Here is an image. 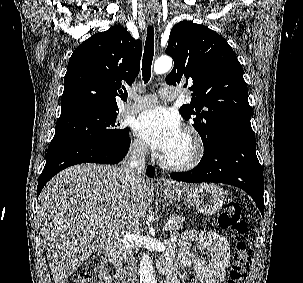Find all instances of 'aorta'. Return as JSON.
<instances>
[{
    "label": "aorta",
    "instance_id": "1",
    "mask_svg": "<svg viewBox=\"0 0 303 283\" xmlns=\"http://www.w3.org/2000/svg\"><path fill=\"white\" fill-rule=\"evenodd\" d=\"M173 65V61L168 56H162L155 61L154 72L156 74H164L168 72ZM140 283H157L155 271L153 267V261L146 253L142 256L139 264Z\"/></svg>",
    "mask_w": 303,
    "mask_h": 283
}]
</instances>
